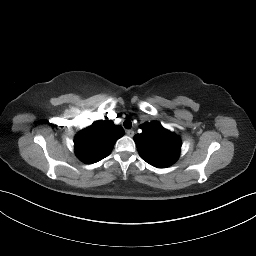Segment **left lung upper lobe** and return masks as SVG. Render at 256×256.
<instances>
[{
	"label": "left lung upper lobe",
	"instance_id": "5c2ea615",
	"mask_svg": "<svg viewBox=\"0 0 256 256\" xmlns=\"http://www.w3.org/2000/svg\"><path fill=\"white\" fill-rule=\"evenodd\" d=\"M142 133L134 136L141 157L157 168L172 165L179 157L181 141L159 122L144 123Z\"/></svg>",
	"mask_w": 256,
	"mask_h": 256
}]
</instances>
